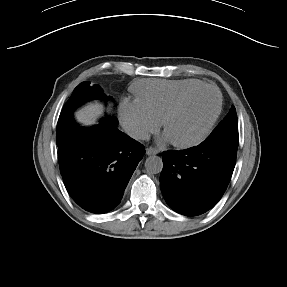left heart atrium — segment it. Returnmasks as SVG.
I'll return each instance as SVG.
<instances>
[{"instance_id": "left-heart-atrium-1", "label": "left heart atrium", "mask_w": 287, "mask_h": 287, "mask_svg": "<svg viewBox=\"0 0 287 287\" xmlns=\"http://www.w3.org/2000/svg\"><path fill=\"white\" fill-rule=\"evenodd\" d=\"M165 140H170V138L166 135V136H165Z\"/></svg>"}]
</instances>
